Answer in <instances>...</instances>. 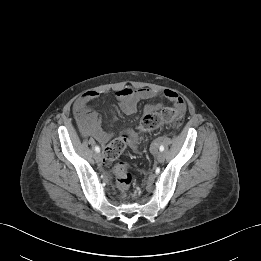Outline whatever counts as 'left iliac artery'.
<instances>
[{
	"instance_id": "left-iliac-artery-1",
	"label": "left iliac artery",
	"mask_w": 261,
	"mask_h": 261,
	"mask_svg": "<svg viewBox=\"0 0 261 261\" xmlns=\"http://www.w3.org/2000/svg\"><path fill=\"white\" fill-rule=\"evenodd\" d=\"M159 150H160L161 152H163V151H164V146L161 145V146L159 147Z\"/></svg>"
}]
</instances>
